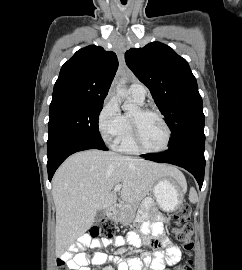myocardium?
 Listing matches in <instances>:
<instances>
[{"instance_id": "1", "label": "myocardium", "mask_w": 242, "mask_h": 270, "mask_svg": "<svg viewBox=\"0 0 242 270\" xmlns=\"http://www.w3.org/2000/svg\"><path fill=\"white\" fill-rule=\"evenodd\" d=\"M137 112L138 113L136 116H131L132 140L137 151L142 152V153H147V154H156V153H162L166 151L169 148L170 143H171L172 132L163 114L156 109H150V108H139ZM147 115H154L158 117L159 120L162 122L166 131L165 143L162 147L158 149L146 148L141 142L139 120L141 117L147 116Z\"/></svg>"}]
</instances>
